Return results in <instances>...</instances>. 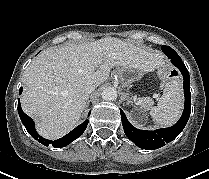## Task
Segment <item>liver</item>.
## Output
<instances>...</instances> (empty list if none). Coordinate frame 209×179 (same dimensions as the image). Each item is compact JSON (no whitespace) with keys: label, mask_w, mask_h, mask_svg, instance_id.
Instances as JSON below:
<instances>
[{"label":"liver","mask_w":209,"mask_h":179,"mask_svg":"<svg viewBox=\"0 0 209 179\" xmlns=\"http://www.w3.org/2000/svg\"><path fill=\"white\" fill-rule=\"evenodd\" d=\"M163 55L117 38L51 47L23 74V111L36 121L38 133L58 139L72 130L86 106L85 88L105 82L112 68L144 72L163 66Z\"/></svg>","instance_id":"1"}]
</instances>
